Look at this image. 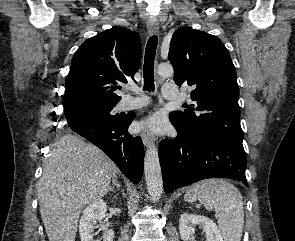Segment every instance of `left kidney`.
<instances>
[{
    "label": "left kidney",
    "mask_w": 295,
    "mask_h": 241,
    "mask_svg": "<svg viewBox=\"0 0 295 241\" xmlns=\"http://www.w3.org/2000/svg\"><path fill=\"white\" fill-rule=\"evenodd\" d=\"M199 226L206 234V241H223L221 233L213 220L205 216L183 213L179 220V232L183 241L194 239L195 227Z\"/></svg>",
    "instance_id": "left-kidney-1"
}]
</instances>
